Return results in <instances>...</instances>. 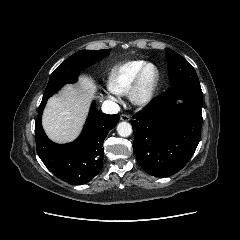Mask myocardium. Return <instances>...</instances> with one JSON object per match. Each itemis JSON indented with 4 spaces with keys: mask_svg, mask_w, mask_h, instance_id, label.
<instances>
[{
    "mask_svg": "<svg viewBox=\"0 0 240 240\" xmlns=\"http://www.w3.org/2000/svg\"><path fill=\"white\" fill-rule=\"evenodd\" d=\"M153 69L152 78L147 81L146 73L148 69ZM160 83V70L154 63H145L136 75L130 89L129 98L130 101L137 107H144L148 105Z\"/></svg>",
    "mask_w": 240,
    "mask_h": 240,
    "instance_id": "obj_1",
    "label": "myocardium"
}]
</instances>
